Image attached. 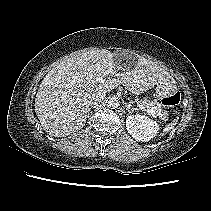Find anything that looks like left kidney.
<instances>
[{"label": "left kidney", "mask_w": 211, "mask_h": 211, "mask_svg": "<svg viewBox=\"0 0 211 211\" xmlns=\"http://www.w3.org/2000/svg\"><path fill=\"white\" fill-rule=\"evenodd\" d=\"M128 133L137 141H150L159 130L154 120L140 114L129 115L126 119Z\"/></svg>", "instance_id": "left-kidney-1"}]
</instances>
